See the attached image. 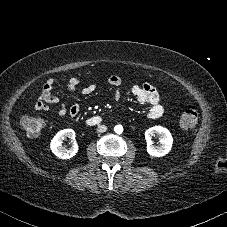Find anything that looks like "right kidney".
Wrapping results in <instances>:
<instances>
[{
    "mask_svg": "<svg viewBox=\"0 0 227 227\" xmlns=\"http://www.w3.org/2000/svg\"><path fill=\"white\" fill-rule=\"evenodd\" d=\"M65 138L75 140V131L73 129H64L59 131L51 140L50 148L52 152L61 159H70L78 152V144L74 141L70 148L62 146Z\"/></svg>",
    "mask_w": 227,
    "mask_h": 227,
    "instance_id": "ca27d5eb",
    "label": "right kidney"
}]
</instances>
